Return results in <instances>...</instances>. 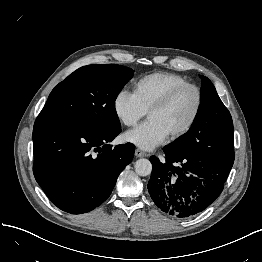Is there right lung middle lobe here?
I'll use <instances>...</instances> for the list:
<instances>
[{"instance_id":"dd1d6c3e","label":"right lung middle lobe","mask_w":262,"mask_h":262,"mask_svg":"<svg viewBox=\"0 0 262 262\" xmlns=\"http://www.w3.org/2000/svg\"><path fill=\"white\" fill-rule=\"evenodd\" d=\"M134 70L115 64L83 66L50 93L40 114L68 117L90 127H121L115 100Z\"/></svg>"}]
</instances>
